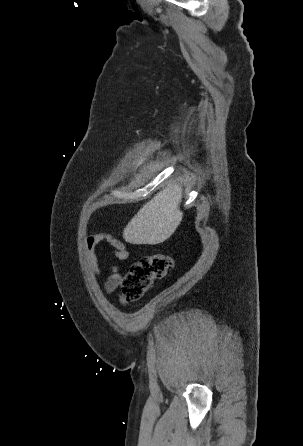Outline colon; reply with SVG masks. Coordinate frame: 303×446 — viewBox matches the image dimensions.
<instances>
[{
  "label": "colon",
  "instance_id": "obj_1",
  "mask_svg": "<svg viewBox=\"0 0 303 446\" xmlns=\"http://www.w3.org/2000/svg\"><path fill=\"white\" fill-rule=\"evenodd\" d=\"M172 266L171 257L161 253L146 255L133 262L124 276V298L127 301L139 300L153 281L163 278Z\"/></svg>",
  "mask_w": 303,
  "mask_h": 446
}]
</instances>
